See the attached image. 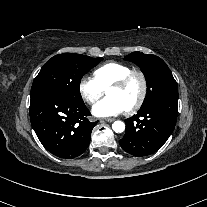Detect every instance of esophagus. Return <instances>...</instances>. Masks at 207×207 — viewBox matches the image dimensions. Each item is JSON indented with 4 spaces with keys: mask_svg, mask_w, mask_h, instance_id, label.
Segmentation results:
<instances>
[{
    "mask_svg": "<svg viewBox=\"0 0 207 207\" xmlns=\"http://www.w3.org/2000/svg\"><path fill=\"white\" fill-rule=\"evenodd\" d=\"M101 120H104V121H106V122H113V121H115V118H112V117H106V118H103V119H101Z\"/></svg>",
    "mask_w": 207,
    "mask_h": 207,
    "instance_id": "esophagus-1",
    "label": "esophagus"
}]
</instances>
